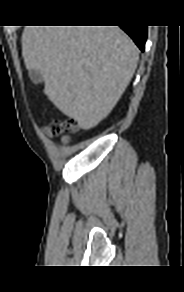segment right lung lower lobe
<instances>
[{
    "instance_id": "1",
    "label": "right lung lower lobe",
    "mask_w": 184,
    "mask_h": 292,
    "mask_svg": "<svg viewBox=\"0 0 184 292\" xmlns=\"http://www.w3.org/2000/svg\"><path fill=\"white\" fill-rule=\"evenodd\" d=\"M136 43V45L143 51L147 38L146 26H120Z\"/></svg>"
}]
</instances>
